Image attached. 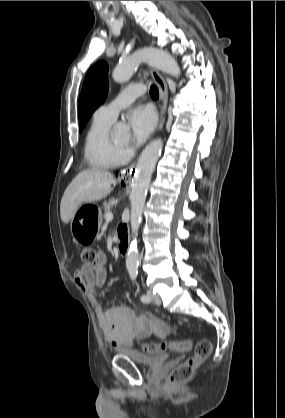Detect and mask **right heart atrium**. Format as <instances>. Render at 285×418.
Wrapping results in <instances>:
<instances>
[{
    "instance_id": "obj_1",
    "label": "right heart atrium",
    "mask_w": 285,
    "mask_h": 418,
    "mask_svg": "<svg viewBox=\"0 0 285 418\" xmlns=\"http://www.w3.org/2000/svg\"><path fill=\"white\" fill-rule=\"evenodd\" d=\"M123 152H125V153H126V152H128V149H124V151H123Z\"/></svg>"
}]
</instances>
